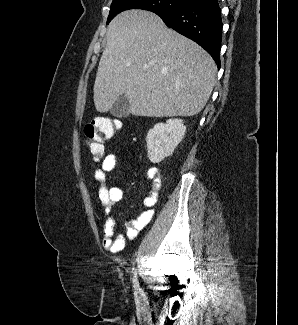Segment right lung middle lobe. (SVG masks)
Wrapping results in <instances>:
<instances>
[{"label":"right lung middle lobe","instance_id":"right-lung-middle-lobe-1","mask_svg":"<svg viewBox=\"0 0 298 325\" xmlns=\"http://www.w3.org/2000/svg\"><path fill=\"white\" fill-rule=\"evenodd\" d=\"M191 0H113L107 24L120 12L128 9H144L152 12L171 11L187 5Z\"/></svg>","mask_w":298,"mask_h":325}]
</instances>
